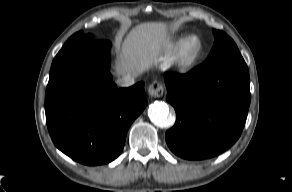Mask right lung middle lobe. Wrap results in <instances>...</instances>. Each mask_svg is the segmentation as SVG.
<instances>
[{
    "instance_id": "right-lung-middle-lobe-1",
    "label": "right lung middle lobe",
    "mask_w": 292,
    "mask_h": 192,
    "mask_svg": "<svg viewBox=\"0 0 292 192\" xmlns=\"http://www.w3.org/2000/svg\"><path fill=\"white\" fill-rule=\"evenodd\" d=\"M94 40L93 35L86 34L84 35L82 31L75 33L72 35L67 42H77V41H91Z\"/></svg>"
}]
</instances>
